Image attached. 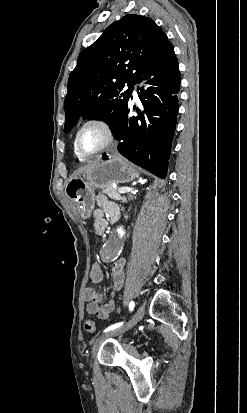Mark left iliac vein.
<instances>
[{"label":"left iliac vein","mask_w":247,"mask_h":413,"mask_svg":"<svg viewBox=\"0 0 247 413\" xmlns=\"http://www.w3.org/2000/svg\"><path fill=\"white\" fill-rule=\"evenodd\" d=\"M145 312V307L143 305H141L137 312L134 314V316L132 317V319L127 322L125 325L118 327L117 329L111 330L107 333H105L104 335L100 336L99 338H97L93 345H92V356L90 358V364L92 366V360L93 357L95 355V353L98 351L100 345L108 338L110 337H115L118 336L124 332H126L127 330H129L130 328L134 327L142 318Z\"/></svg>","instance_id":"4c4485c4"}]
</instances>
